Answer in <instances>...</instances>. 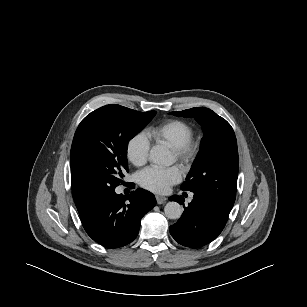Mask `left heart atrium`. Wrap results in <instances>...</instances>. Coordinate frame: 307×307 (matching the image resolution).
Returning <instances> with one entry per match:
<instances>
[{"label":"left heart atrium","mask_w":307,"mask_h":307,"mask_svg":"<svg viewBox=\"0 0 307 307\" xmlns=\"http://www.w3.org/2000/svg\"><path fill=\"white\" fill-rule=\"evenodd\" d=\"M181 178L182 172L176 166L166 169L148 167L138 174V182L141 187L160 194L167 192L169 188L178 183Z\"/></svg>","instance_id":"left-heart-atrium-1"}]
</instances>
